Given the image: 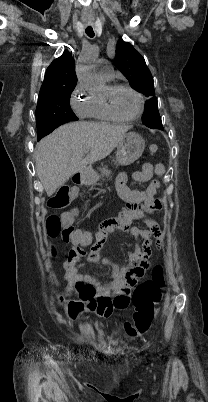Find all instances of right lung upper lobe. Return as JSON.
Segmentation results:
<instances>
[{
    "label": "right lung upper lobe",
    "instance_id": "cb5924a9",
    "mask_svg": "<svg viewBox=\"0 0 208 402\" xmlns=\"http://www.w3.org/2000/svg\"><path fill=\"white\" fill-rule=\"evenodd\" d=\"M76 83L75 62L70 52L65 50L47 68L39 97L55 89L75 86Z\"/></svg>",
    "mask_w": 208,
    "mask_h": 402
}]
</instances>
